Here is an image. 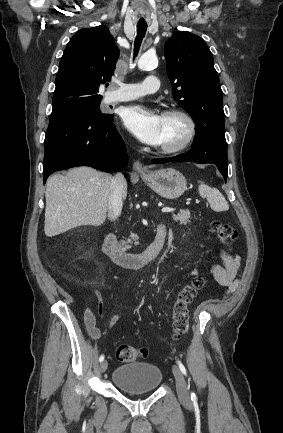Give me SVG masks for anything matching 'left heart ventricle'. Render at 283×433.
<instances>
[{"label": "left heart ventricle", "instance_id": "obj_1", "mask_svg": "<svg viewBox=\"0 0 283 433\" xmlns=\"http://www.w3.org/2000/svg\"><path fill=\"white\" fill-rule=\"evenodd\" d=\"M187 123L179 116H163L164 142L160 151L177 146L187 134Z\"/></svg>", "mask_w": 283, "mask_h": 433}]
</instances>
